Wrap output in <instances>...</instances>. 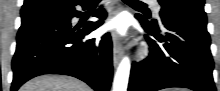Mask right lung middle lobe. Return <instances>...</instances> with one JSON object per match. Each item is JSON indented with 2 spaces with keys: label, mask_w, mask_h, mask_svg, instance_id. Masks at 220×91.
Masks as SVG:
<instances>
[{
  "label": "right lung middle lobe",
  "mask_w": 220,
  "mask_h": 91,
  "mask_svg": "<svg viewBox=\"0 0 220 91\" xmlns=\"http://www.w3.org/2000/svg\"><path fill=\"white\" fill-rule=\"evenodd\" d=\"M58 2H67V1H58Z\"/></svg>",
  "instance_id": "dd1d6c3e"
}]
</instances>
